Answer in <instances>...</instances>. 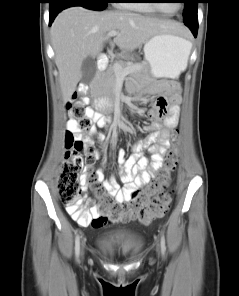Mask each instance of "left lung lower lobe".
Returning <instances> with one entry per match:
<instances>
[{
	"label": "left lung lower lobe",
	"instance_id": "obj_1",
	"mask_svg": "<svg viewBox=\"0 0 239 296\" xmlns=\"http://www.w3.org/2000/svg\"><path fill=\"white\" fill-rule=\"evenodd\" d=\"M187 26L191 29L192 33L196 37L198 31V22L189 23Z\"/></svg>",
	"mask_w": 239,
	"mask_h": 296
}]
</instances>
